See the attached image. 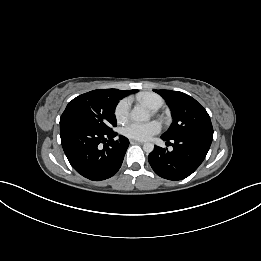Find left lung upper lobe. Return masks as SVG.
Wrapping results in <instances>:
<instances>
[{
    "instance_id": "obj_1",
    "label": "left lung upper lobe",
    "mask_w": 261,
    "mask_h": 261,
    "mask_svg": "<svg viewBox=\"0 0 261 261\" xmlns=\"http://www.w3.org/2000/svg\"><path fill=\"white\" fill-rule=\"evenodd\" d=\"M161 95L171 109L173 122L162 135L174 139L186 135L213 137V127L205 108L191 96L171 90H153Z\"/></svg>"
}]
</instances>
